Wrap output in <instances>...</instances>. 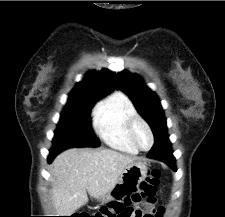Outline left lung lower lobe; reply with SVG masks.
Segmentation results:
<instances>
[{
  "label": "left lung lower lobe",
  "mask_w": 225,
  "mask_h": 217,
  "mask_svg": "<svg viewBox=\"0 0 225 217\" xmlns=\"http://www.w3.org/2000/svg\"><path fill=\"white\" fill-rule=\"evenodd\" d=\"M148 157L163 161L164 163L168 164L172 169H174V170L176 169L175 168V158L173 157L172 153L166 154V153H163L161 150H159V151L151 150L148 153Z\"/></svg>",
  "instance_id": "0a47b994"
}]
</instances>
